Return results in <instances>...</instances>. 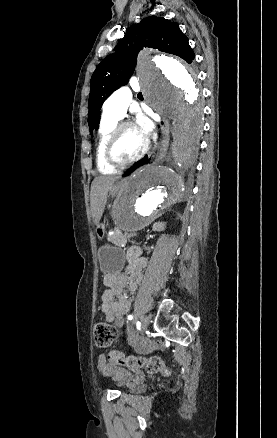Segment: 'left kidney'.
<instances>
[{"label":"left kidney","instance_id":"5707ae66","mask_svg":"<svg viewBox=\"0 0 277 438\" xmlns=\"http://www.w3.org/2000/svg\"><path fill=\"white\" fill-rule=\"evenodd\" d=\"M153 230L154 232H162V230H165V222H155Z\"/></svg>","mask_w":277,"mask_h":438}]
</instances>
